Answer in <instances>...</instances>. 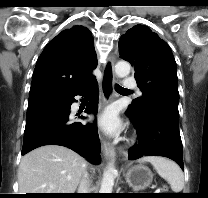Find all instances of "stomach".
I'll list each match as a JSON object with an SVG mask.
<instances>
[{"instance_id": "1", "label": "stomach", "mask_w": 208, "mask_h": 198, "mask_svg": "<svg viewBox=\"0 0 208 198\" xmlns=\"http://www.w3.org/2000/svg\"><path fill=\"white\" fill-rule=\"evenodd\" d=\"M152 180V172L142 164L132 166L126 173V182L136 190L146 189L152 183Z\"/></svg>"}]
</instances>
